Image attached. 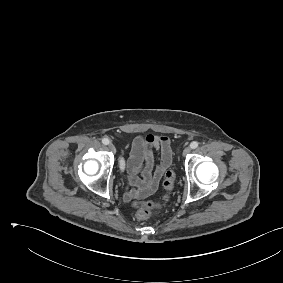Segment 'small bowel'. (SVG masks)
<instances>
[{
  "label": "small bowel",
  "instance_id": "1",
  "mask_svg": "<svg viewBox=\"0 0 283 283\" xmlns=\"http://www.w3.org/2000/svg\"><path fill=\"white\" fill-rule=\"evenodd\" d=\"M152 147L159 150L156 166L151 152ZM171 162L172 150L168 137L148 134L134 138L129 153L127 169L129 174L128 184L135 188L126 193L127 198L144 199L152 194ZM139 172H142L141 178L138 177Z\"/></svg>",
  "mask_w": 283,
  "mask_h": 283
}]
</instances>
